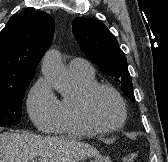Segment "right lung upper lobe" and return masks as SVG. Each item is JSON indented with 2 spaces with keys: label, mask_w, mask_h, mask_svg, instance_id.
I'll use <instances>...</instances> for the list:
<instances>
[{
  "label": "right lung upper lobe",
  "mask_w": 168,
  "mask_h": 162,
  "mask_svg": "<svg viewBox=\"0 0 168 162\" xmlns=\"http://www.w3.org/2000/svg\"><path fill=\"white\" fill-rule=\"evenodd\" d=\"M53 33L54 20L45 12L13 15L0 32V84L34 77Z\"/></svg>",
  "instance_id": "cb5924a9"
}]
</instances>
